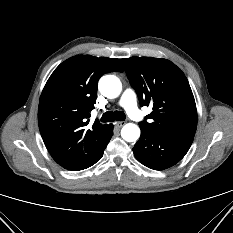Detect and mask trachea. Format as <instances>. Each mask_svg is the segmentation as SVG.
I'll list each match as a JSON object with an SVG mask.
<instances>
[{
  "label": "trachea",
  "instance_id": "3493384b",
  "mask_svg": "<svg viewBox=\"0 0 233 233\" xmlns=\"http://www.w3.org/2000/svg\"><path fill=\"white\" fill-rule=\"evenodd\" d=\"M124 121L125 114L121 111H108L102 115V122Z\"/></svg>",
  "mask_w": 233,
  "mask_h": 233
}]
</instances>
